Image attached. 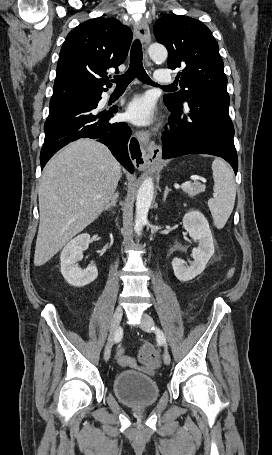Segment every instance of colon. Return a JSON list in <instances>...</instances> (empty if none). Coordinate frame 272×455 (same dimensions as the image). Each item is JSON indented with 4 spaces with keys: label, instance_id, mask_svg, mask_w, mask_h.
<instances>
[{
    "label": "colon",
    "instance_id": "1",
    "mask_svg": "<svg viewBox=\"0 0 272 455\" xmlns=\"http://www.w3.org/2000/svg\"><path fill=\"white\" fill-rule=\"evenodd\" d=\"M139 360L145 365H157L159 363V355L152 345L146 344L139 352Z\"/></svg>",
    "mask_w": 272,
    "mask_h": 455
}]
</instances>
